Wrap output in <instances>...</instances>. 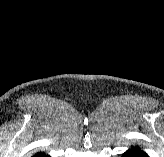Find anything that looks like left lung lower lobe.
<instances>
[{
    "instance_id": "obj_1",
    "label": "left lung lower lobe",
    "mask_w": 164,
    "mask_h": 157,
    "mask_svg": "<svg viewBox=\"0 0 164 157\" xmlns=\"http://www.w3.org/2000/svg\"><path fill=\"white\" fill-rule=\"evenodd\" d=\"M122 157H148V155L143 152L138 146H135L128 151H126Z\"/></svg>"
}]
</instances>
